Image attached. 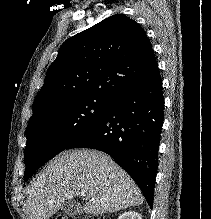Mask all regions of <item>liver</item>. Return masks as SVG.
<instances>
[{"instance_id":"obj_1","label":"liver","mask_w":211,"mask_h":219,"mask_svg":"<svg viewBox=\"0 0 211 219\" xmlns=\"http://www.w3.org/2000/svg\"><path fill=\"white\" fill-rule=\"evenodd\" d=\"M29 219H48L74 196L85 200L87 214L117 212L143 203L132 178L107 154L70 150L57 155L28 188Z\"/></svg>"}]
</instances>
